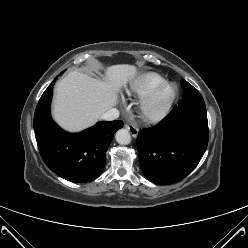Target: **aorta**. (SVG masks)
Segmentation results:
<instances>
[{"label":"aorta","mask_w":248,"mask_h":248,"mask_svg":"<svg viewBox=\"0 0 248 248\" xmlns=\"http://www.w3.org/2000/svg\"><path fill=\"white\" fill-rule=\"evenodd\" d=\"M117 143L121 145H128L131 142V135L128 130L120 129L116 132L115 135Z\"/></svg>","instance_id":"762f6f07"}]
</instances>
